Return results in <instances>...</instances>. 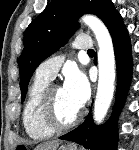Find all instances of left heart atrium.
<instances>
[{
  "label": "left heart atrium",
  "instance_id": "1",
  "mask_svg": "<svg viewBox=\"0 0 139 150\" xmlns=\"http://www.w3.org/2000/svg\"><path fill=\"white\" fill-rule=\"evenodd\" d=\"M63 89L78 108L86 103L90 94L89 83L85 75L77 69L67 72Z\"/></svg>",
  "mask_w": 139,
  "mask_h": 150
}]
</instances>
